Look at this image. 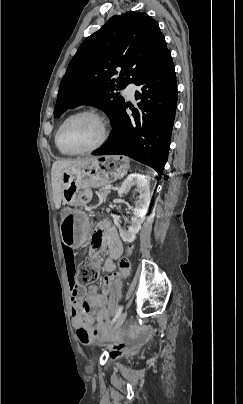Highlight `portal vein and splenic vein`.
<instances>
[{
  "label": "portal vein and splenic vein",
  "instance_id": "portal-vein-and-splenic-vein-1",
  "mask_svg": "<svg viewBox=\"0 0 243 404\" xmlns=\"http://www.w3.org/2000/svg\"><path fill=\"white\" fill-rule=\"evenodd\" d=\"M105 190H111V186H105Z\"/></svg>",
  "mask_w": 243,
  "mask_h": 404
}]
</instances>
